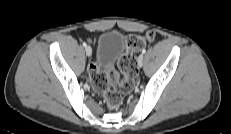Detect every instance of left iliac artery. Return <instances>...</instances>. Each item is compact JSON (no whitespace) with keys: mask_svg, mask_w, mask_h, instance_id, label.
<instances>
[{"mask_svg":"<svg viewBox=\"0 0 231 134\" xmlns=\"http://www.w3.org/2000/svg\"><path fill=\"white\" fill-rule=\"evenodd\" d=\"M146 52V49H142V54H144Z\"/></svg>","mask_w":231,"mask_h":134,"instance_id":"1","label":"left iliac artery"}]
</instances>
